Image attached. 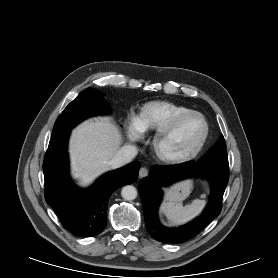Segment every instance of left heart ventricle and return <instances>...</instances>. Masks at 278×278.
Returning <instances> with one entry per match:
<instances>
[{"instance_id":"obj_1","label":"left heart ventricle","mask_w":278,"mask_h":278,"mask_svg":"<svg viewBox=\"0 0 278 278\" xmlns=\"http://www.w3.org/2000/svg\"><path fill=\"white\" fill-rule=\"evenodd\" d=\"M204 130L203 122L198 117L186 119L173 134L167 144L172 152H185L192 149L199 141Z\"/></svg>"}]
</instances>
